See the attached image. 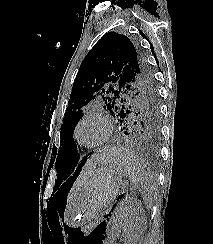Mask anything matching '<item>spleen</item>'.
Returning <instances> with one entry per match:
<instances>
[{"label": "spleen", "mask_w": 213, "mask_h": 244, "mask_svg": "<svg viewBox=\"0 0 213 244\" xmlns=\"http://www.w3.org/2000/svg\"><path fill=\"white\" fill-rule=\"evenodd\" d=\"M113 153L116 169L120 172L124 169L129 176L131 184H133L135 188L141 186L142 191L145 193L150 186V178L145 170L143 161L125 150L115 149ZM144 200L146 207L149 209L152 204L151 197L145 194Z\"/></svg>", "instance_id": "3e777b00"}]
</instances>
